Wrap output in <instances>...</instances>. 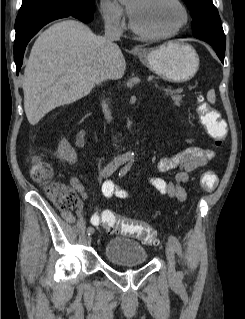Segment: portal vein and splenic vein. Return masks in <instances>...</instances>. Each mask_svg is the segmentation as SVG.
Here are the masks:
<instances>
[{
    "label": "portal vein and splenic vein",
    "mask_w": 245,
    "mask_h": 319,
    "mask_svg": "<svg viewBox=\"0 0 245 319\" xmlns=\"http://www.w3.org/2000/svg\"><path fill=\"white\" fill-rule=\"evenodd\" d=\"M160 89L161 91H164V92H172V89L170 87H162Z\"/></svg>",
    "instance_id": "1"
}]
</instances>
